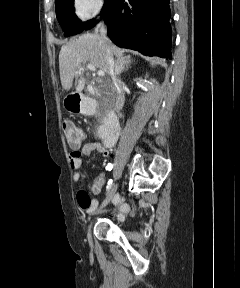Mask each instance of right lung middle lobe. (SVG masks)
<instances>
[{
    "label": "right lung middle lobe",
    "mask_w": 240,
    "mask_h": 288,
    "mask_svg": "<svg viewBox=\"0 0 240 288\" xmlns=\"http://www.w3.org/2000/svg\"><path fill=\"white\" fill-rule=\"evenodd\" d=\"M55 5L57 19L66 37L82 32L94 21L92 19L82 23L78 19L73 9L74 0H55Z\"/></svg>",
    "instance_id": "right-lung-middle-lobe-1"
}]
</instances>
